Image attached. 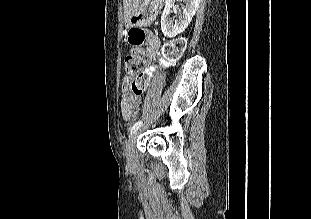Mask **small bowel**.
I'll list each match as a JSON object with an SVG mask.
<instances>
[{"instance_id": "obj_1", "label": "small bowel", "mask_w": 311, "mask_h": 219, "mask_svg": "<svg viewBox=\"0 0 311 219\" xmlns=\"http://www.w3.org/2000/svg\"><path fill=\"white\" fill-rule=\"evenodd\" d=\"M132 39V31L129 33ZM159 42L155 37L149 39V52L148 58L154 59L157 54ZM130 79L125 77L122 80V99L120 103L121 113L126 121H132L139 112V99L138 96L130 92Z\"/></svg>"}]
</instances>
